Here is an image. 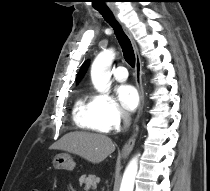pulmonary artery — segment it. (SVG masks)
Returning <instances> with one entry per match:
<instances>
[{"instance_id":"pulmonary-artery-1","label":"pulmonary artery","mask_w":210,"mask_h":191,"mask_svg":"<svg viewBox=\"0 0 210 191\" xmlns=\"http://www.w3.org/2000/svg\"><path fill=\"white\" fill-rule=\"evenodd\" d=\"M114 77L119 82H124L128 78L127 69L124 66H118L114 72Z\"/></svg>"}]
</instances>
